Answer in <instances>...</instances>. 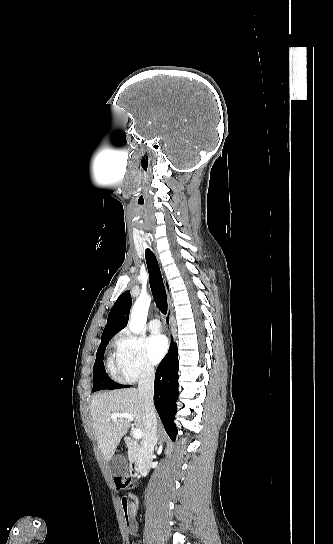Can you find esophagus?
<instances>
[{"label": "esophagus", "instance_id": "esophagus-1", "mask_svg": "<svg viewBox=\"0 0 333 544\" xmlns=\"http://www.w3.org/2000/svg\"><path fill=\"white\" fill-rule=\"evenodd\" d=\"M171 312H172V301L170 296L168 295V313L165 316V325L167 329L169 330V332H171V316H170Z\"/></svg>", "mask_w": 333, "mask_h": 544}]
</instances>
